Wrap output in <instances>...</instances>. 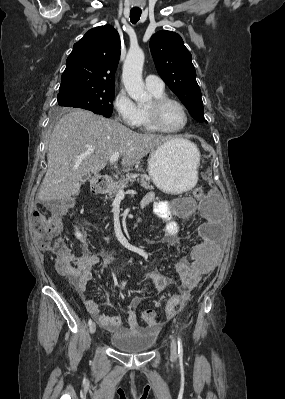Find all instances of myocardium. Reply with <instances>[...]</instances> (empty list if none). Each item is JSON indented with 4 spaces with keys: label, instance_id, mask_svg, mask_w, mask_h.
Wrapping results in <instances>:
<instances>
[{
    "label": "myocardium",
    "instance_id": "f54148a6",
    "mask_svg": "<svg viewBox=\"0 0 285 399\" xmlns=\"http://www.w3.org/2000/svg\"><path fill=\"white\" fill-rule=\"evenodd\" d=\"M168 103L177 104L183 112L184 115V123L182 126L178 128H169L166 127L162 122V110ZM147 113L149 117V121L154 129L164 132V133H174L181 131L188 123V113L184 104L176 98L170 96H161L158 98H154L151 103L147 106Z\"/></svg>",
    "mask_w": 285,
    "mask_h": 399
}]
</instances>
